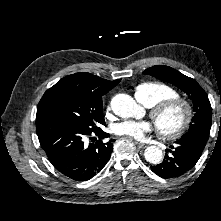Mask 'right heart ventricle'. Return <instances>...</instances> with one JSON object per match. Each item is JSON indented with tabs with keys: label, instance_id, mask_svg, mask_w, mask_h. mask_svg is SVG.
<instances>
[{
	"label": "right heart ventricle",
	"instance_id": "right-heart-ventricle-1",
	"mask_svg": "<svg viewBox=\"0 0 221 221\" xmlns=\"http://www.w3.org/2000/svg\"><path fill=\"white\" fill-rule=\"evenodd\" d=\"M135 96L145 106L153 107L163 100L177 97L178 92L165 83L154 81L139 84L135 89Z\"/></svg>",
	"mask_w": 221,
	"mask_h": 221
}]
</instances>
